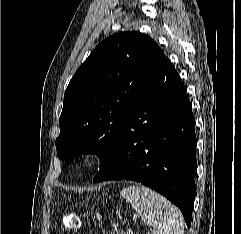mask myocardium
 <instances>
[{
    "label": "myocardium",
    "instance_id": "myocardium-1",
    "mask_svg": "<svg viewBox=\"0 0 241 234\" xmlns=\"http://www.w3.org/2000/svg\"><path fill=\"white\" fill-rule=\"evenodd\" d=\"M100 157V151L97 149H88L83 152L81 156L82 164L84 165H91L95 163Z\"/></svg>",
    "mask_w": 241,
    "mask_h": 234
}]
</instances>
